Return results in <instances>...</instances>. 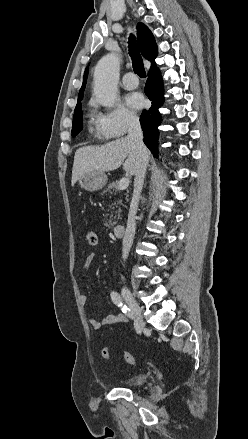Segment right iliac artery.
<instances>
[{
  "label": "right iliac artery",
  "instance_id": "right-iliac-artery-1",
  "mask_svg": "<svg viewBox=\"0 0 248 439\" xmlns=\"http://www.w3.org/2000/svg\"><path fill=\"white\" fill-rule=\"evenodd\" d=\"M111 299L114 304L121 308L122 312L125 313L130 319H134L131 310L124 304L121 296L117 292H111Z\"/></svg>",
  "mask_w": 248,
  "mask_h": 439
}]
</instances>
